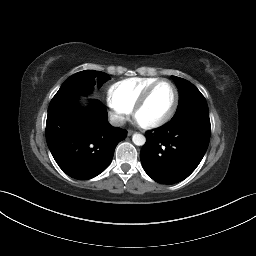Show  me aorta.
<instances>
[{
	"label": "aorta",
	"instance_id": "aorta-1",
	"mask_svg": "<svg viewBox=\"0 0 256 256\" xmlns=\"http://www.w3.org/2000/svg\"><path fill=\"white\" fill-rule=\"evenodd\" d=\"M132 141L135 145L137 146H142L145 144L146 142V138L145 136H143L142 134H139V133H135L133 136H132Z\"/></svg>",
	"mask_w": 256,
	"mask_h": 256
}]
</instances>
